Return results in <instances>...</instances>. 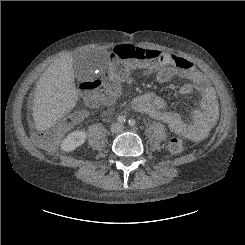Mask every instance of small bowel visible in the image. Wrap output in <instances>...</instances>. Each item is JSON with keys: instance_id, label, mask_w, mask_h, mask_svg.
<instances>
[{"instance_id": "c3829d8e", "label": "small bowel", "mask_w": 245, "mask_h": 245, "mask_svg": "<svg viewBox=\"0 0 245 245\" xmlns=\"http://www.w3.org/2000/svg\"><path fill=\"white\" fill-rule=\"evenodd\" d=\"M145 60L135 64L131 70H140L143 75H154L157 82L164 84L174 77L186 78L189 83L179 89V94L190 95L193 91L200 94V109L195 111L190 120L181 114L167 108L165 100L152 92L139 95L130 106L137 113L147 114L166 123L175 134L193 141L204 139L211 131L218 119V104L215 91L207 78L181 55L164 53L156 49H145ZM158 61L163 64L158 67ZM56 76L67 80L69 72L57 71ZM134 77L127 74L117 82L116 88L110 93L100 95L103 108H110L122 91V84H131ZM82 85V84H81ZM80 85V87H81Z\"/></svg>"}]
</instances>
